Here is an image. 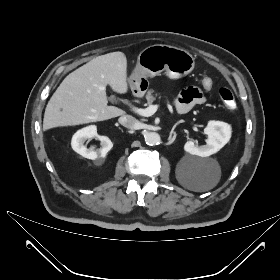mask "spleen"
Returning <instances> with one entry per match:
<instances>
[{
	"mask_svg": "<svg viewBox=\"0 0 280 280\" xmlns=\"http://www.w3.org/2000/svg\"><path fill=\"white\" fill-rule=\"evenodd\" d=\"M217 184V181L214 182L213 184H210L208 186H205L203 190H209V189H212L215 185Z\"/></svg>",
	"mask_w": 280,
	"mask_h": 280,
	"instance_id": "1",
	"label": "spleen"
}]
</instances>
